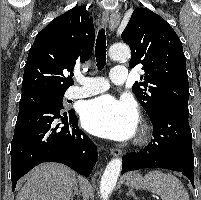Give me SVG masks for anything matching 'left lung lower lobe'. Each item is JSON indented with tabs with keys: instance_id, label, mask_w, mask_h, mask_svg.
I'll return each instance as SVG.
<instances>
[{
	"instance_id": "left-lung-lower-lobe-1",
	"label": "left lung lower lobe",
	"mask_w": 201,
	"mask_h": 200,
	"mask_svg": "<svg viewBox=\"0 0 201 200\" xmlns=\"http://www.w3.org/2000/svg\"><path fill=\"white\" fill-rule=\"evenodd\" d=\"M188 104L166 103L150 115L154 139L139 152L123 157L122 174L143 168H165L182 172L194 187V155L188 122Z\"/></svg>"
}]
</instances>
